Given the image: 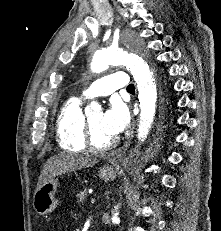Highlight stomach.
Segmentation results:
<instances>
[{
  "instance_id": "1",
  "label": "stomach",
  "mask_w": 221,
  "mask_h": 231,
  "mask_svg": "<svg viewBox=\"0 0 221 231\" xmlns=\"http://www.w3.org/2000/svg\"><path fill=\"white\" fill-rule=\"evenodd\" d=\"M99 177L104 181L116 178V170L109 164L102 166L98 171ZM58 181L52 178L36 189L33 196V208L39 215H46L55 210L58 200L55 198Z\"/></svg>"
}]
</instances>
